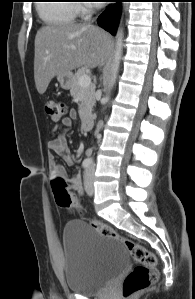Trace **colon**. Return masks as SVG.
I'll return each instance as SVG.
<instances>
[{
    "mask_svg": "<svg viewBox=\"0 0 195 299\" xmlns=\"http://www.w3.org/2000/svg\"><path fill=\"white\" fill-rule=\"evenodd\" d=\"M45 111L53 122H59L67 114V104L59 100H48L45 103ZM52 191L57 205L63 208H80V202L68 191L66 180L61 176H55L52 180ZM90 225L102 236L116 240L126 247L132 258L138 263L125 277L122 283L124 297H130L152 285L157 280L155 267L157 258L154 253L147 250L141 244L116 232L107 224L96 219H89Z\"/></svg>",
    "mask_w": 195,
    "mask_h": 299,
    "instance_id": "1",
    "label": "colon"
}]
</instances>
